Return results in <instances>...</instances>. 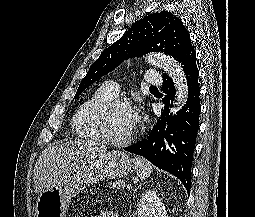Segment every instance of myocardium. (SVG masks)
Segmentation results:
<instances>
[{"label":"myocardium","mask_w":255,"mask_h":217,"mask_svg":"<svg viewBox=\"0 0 255 217\" xmlns=\"http://www.w3.org/2000/svg\"><path fill=\"white\" fill-rule=\"evenodd\" d=\"M118 107L130 108L129 104L123 100L112 99L104 103L101 107L97 109L94 115V122L98 133L100 134L102 140L113 145H126L133 141L136 136V129L133 130L128 136L124 138H115L110 134L108 128V118L109 114Z\"/></svg>","instance_id":"1"}]
</instances>
